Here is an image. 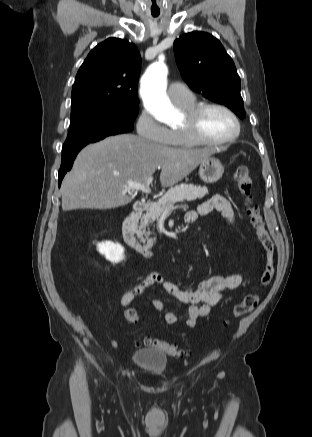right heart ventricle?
Segmentation results:
<instances>
[{
	"label": "right heart ventricle",
	"mask_w": 312,
	"mask_h": 437,
	"mask_svg": "<svg viewBox=\"0 0 312 437\" xmlns=\"http://www.w3.org/2000/svg\"><path fill=\"white\" fill-rule=\"evenodd\" d=\"M176 105L182 110L186 111L197 105V103L195 97L193 96L188 102ZM166 144L174 147H193L196 145L189 140V138L180 128L170 130V137Z\"/></svg>",
	"instance_id": "right-heart-ventricle-1"
}]
</instances>
